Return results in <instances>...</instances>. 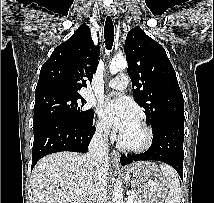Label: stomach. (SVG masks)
Masks as SVG:
<instances>
[{"label":"stomach","instance_id":"obj_1","mask_svg":"<svg viewBox=\"0 0 214 203\" xmlns=\"http://www.w3.org/2000/svg\"><path fill=\"white\" fill-rule=\"evenodd\" d=\"M125 177L136 194V203H164L168 196V178L154 163H134L125 170Z\"/></svg>","mask_w":214,"mask_h":203}]
</instances>
